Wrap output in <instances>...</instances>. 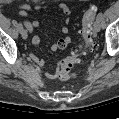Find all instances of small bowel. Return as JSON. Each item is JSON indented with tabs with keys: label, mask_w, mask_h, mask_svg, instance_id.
Segmentation results:
<instances>
[{
	"label": "small bowel",
	"mask_w": 119,
	"mask_h": 119,
	"mask_svg": "<svg viewBox=\"0 0 119 119\" xmlns=\"http://www.w3.org/2000/svg\"><path fill=\"white\" fill-rule=\"evenodd\" d=\"M59 9L61 10V12L64 14L65 16V24L62 27V33L65 35L64 38L58 40L56 43H54L51 47V49L53 51H57L60 49H64L71 41L70 37L68 36L69 33V28L67 26V24L69 23L70 20V8L68 7L67 4L65 3H59L58 4ZM47 9L46 6H42V5H30V4H23L20 6L19 8V14L23 17H26L29 15V13L31 11H40V10H45ZM25 27L32 32L34 29L38 28L40 23L37 20L34 21H25L24 22ZM32 43L34 45H38L40 43V37L38 35H34L32 37ZM31 59L39 66H42L44 64V61L38 57H36L35 55H31L30 56ZM46 77L49 79H56L58 78V69L55 71H50L46 73Z\"/></svg>",
	"instance_id": "1"
}]
</instances>
